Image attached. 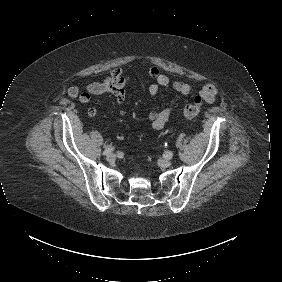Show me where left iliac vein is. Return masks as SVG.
I'll return each mask as SVG.
<instances>
[{
    "mask_svg": "<svg viewBox=\"0 0 282 282\" xmlns=\"http://www.w3.org/2000/svg\"><path fill=\"white\" fill-rule=\"evenodd\" d=\"M171 160L169 158H163L160 160V166L169 167L171 165Z\"/></svg>",
    "mask_w": 282,
    "mask_h": 282,
    "instance_id": "4c4485c4",
    "label": "left iliac vein"
}]
</instances>
